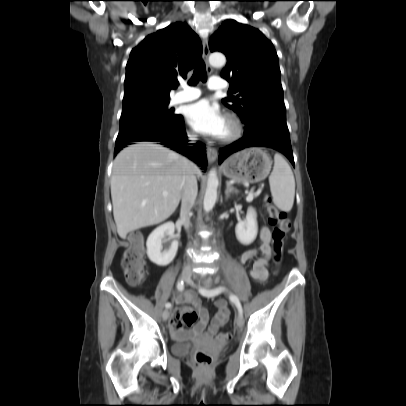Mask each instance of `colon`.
Listing matches in <instances>:
<instances>
[{
    "label": "colon",
    "mask_w": 406,
    "mask_h": 406,
    "mask_svg": "<svg viewBox=\"0 0 406 406\" xmlns=\"http://www.w3.org/2000/svg\"><path fill=\"white\" fill-rule=\"evenodd\" d=\"M266 209L268 213V221L273 227L272 231V250L274 262L280 265L282 261L283 247L286 242L289 222L286 214L277 209L266 199ZM121 265L124 272L125 280L130 285L140 284L147 273L146 263L144 259V245L142 237L139 234H133L130 237V243L123 253ZM196 313L191 312H174L171 317V326L181 330L184 325H191L196 320ZM231 335L229 332H220L216 339L219 343L229 341ZM211 356L203 352H199L195 356V364L198 367H206L210 365Z\"/></svg>",
    "instance_id": "colon-1"
}]
</instances>
